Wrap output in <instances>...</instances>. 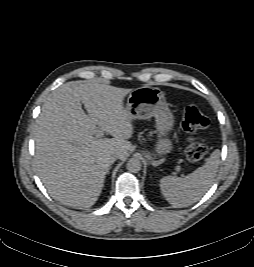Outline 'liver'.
<instances>
[{
    "mask_svg": "<svg viewBox=\"0 0 254 267\" xmlns=\"http://www.w3.org/2000/svg\"><path fill=\"white\" fill-rule=\"evenodd\" d=\"M131 91L96 81H71L47 97L32 131L34 166L50 195L61 204L93 206L112 164L110 157L126 158L134 127L123 101ZM97 128L113 138L97 139Z\"/></svg>",
    "mask_w": 254,
    "mask_h": 267,
    "instance_id": "6515ba94",
    "label": "liver"
}]
</instances>
